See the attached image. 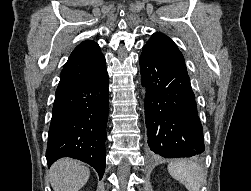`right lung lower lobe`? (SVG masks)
Listing matches in <instances>:
<instances>
[{"instance_id": "obj_1", "label": "right lung lower lobe", "mask_w": 251, "mask_h": 191, "mask_svg": "<svg viewBox=\"0 0 251 191\" xmlns=\"http://www.w3.org/2000/svg\"><path fill=\"white\" fill-rule=\"evenodd\" d=\"M108 74L57 94L48 133V166L62 157L88 163L102 178L105 170L108 120Z\"/></svg>"}]
</instances>
